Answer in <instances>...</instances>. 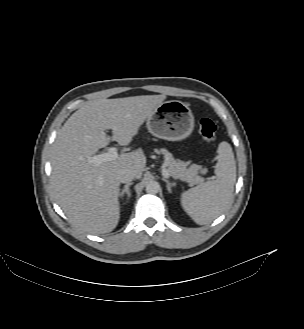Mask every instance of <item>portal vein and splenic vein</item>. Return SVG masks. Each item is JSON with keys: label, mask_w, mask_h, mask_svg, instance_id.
Masks as SVG:
<instances>
[{"label": "portal vein and splenic vein", "mask_w": 304, "mask_h": 329, "mask_svg": "<svg viewBox=\"0 0 304 329\" xmlns=\"http://www.w3.org/2000/svg\"><path fill=\"white\" fill-rule=\"evenodd\" d=\"M118 149L117 147H111L108 149V152L94 155L88 158V162L94 164L95 166H99L100 164L108 161H112L118 158ZM162 174L165 177H169V173L166 168H162Z\"/></svg>", "instance_id": "obj_1"}]
</instances>
